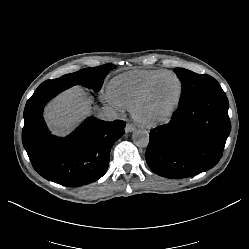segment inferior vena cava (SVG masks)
<instances>
[{"instance_id":"602c4592","label":"inferior vena cava","mask_w":249,"mask_h":249,"mask_svg":"<svg viewBox=\"0 0 249 249\" xmlns=\"http://www.w3.org/2000/svg\"><path fill=\"white\" fill-rule=\"evenodd\" d=\"M97 118L103 121H114L118 119L117 112L110 106H104L96 114Z\"/></svg>"}]
</instances>
